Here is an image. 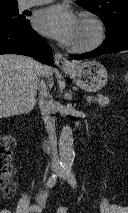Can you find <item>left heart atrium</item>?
Here are the masks:
<instances>
[{"label":"left heart atrium","mask_w":128,"mask_h":213,"mask_svg":"<svg viewBox=\"0 0 128 213\" xmlns=\"http://www.w3.org/2000/svg\"><path fill=\"white\" fill-rule=\"evenodd\" d=\"M33 25L40 33L70 45L75 39L79 20L68 6L55 4L38 11Z\"/></svg>","instance_id":"1"}]
</instances>
